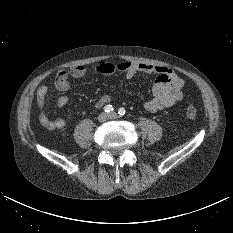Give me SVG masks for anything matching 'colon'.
I'll return each mask as SVG.
<instances>
[{
    "label": "colon",
    "instance_id": "colon-1",
    "mask_svg": "<svg viewBox=\"0 0 233 233\" xmlns=\"http://www.w3.org/2000/svg\"><path fill=\"white\" fill-rule=\"evenodd\" d=\"M186 117L190 120H194L197 117V111L192 105H188L185 110Z\"/></svg>",
    "mask_w": 233,
    "mask_h": 233
}]
</instances>
